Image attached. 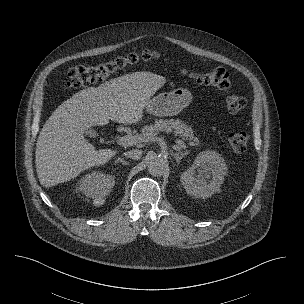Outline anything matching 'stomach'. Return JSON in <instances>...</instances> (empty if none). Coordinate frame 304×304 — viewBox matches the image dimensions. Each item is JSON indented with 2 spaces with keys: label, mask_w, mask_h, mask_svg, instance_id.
<instances>
[{
  "label": "stomach",
  "mask_w": 304,
  "mask_h": 304,
  "mask_svg": "<svg viewBox=\"0 0 304 304\" xmlns=\"http://www.w3.org/2000/svg\"><path fill=\"white\" fill-rule=\"evenodd\" d=\"M192 101V94L186 88H177L163 92L150 99L145 110L156 116H173L179 114Z\"/></svg>",
  "instance_id": "stomach-1"
}]
</instances>
